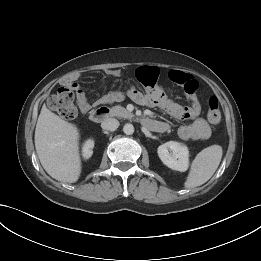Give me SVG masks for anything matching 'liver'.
<instances>
[{
	"label": "liver",
	"instance_id": "liver-1",
	"mask_svg": "<svg viewBox=\"0 0 261 261\" xmlns=\"http://www.w3.org/2000/svg\"><path fill=\"white\" fill-rule=\"evenodd\" d=\"M79 130L42 106L35 129V148L41 165L54 179L74 183L81 174Z\"/></svg>",
	"mask_w": 261,
	"mask_h": 261
}]
</instances>
